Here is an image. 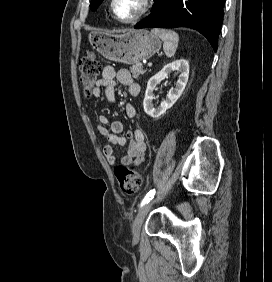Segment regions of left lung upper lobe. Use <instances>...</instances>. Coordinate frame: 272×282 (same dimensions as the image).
<instances>
[{
	"mask_svg": "<svg viewBox=\"0 0 272 282\" xmlns=\"http://www.w3.org/2000/svg\"><path fill=\"white\" fill-rule=\"evenodd\" d=\"M103 0H91L90 8L92 11H95Z\"/></svg>",
	"mask_w": 272,
	"mask_h": 282,
	"instance_id": "5c2ea615",
	"label": "left lung upper lobe"
}]
</instances>
